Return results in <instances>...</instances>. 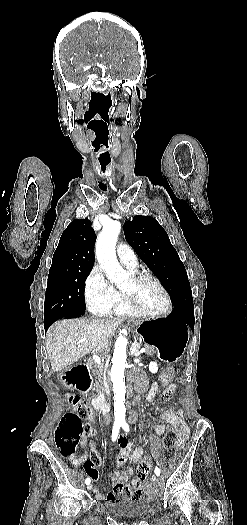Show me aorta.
Returning <instances> with one entry per match:
<instances>
[{"instance_id":"obj_1","label":"aorta","mask_w":247,"mask_h":525,"mask_svg":"<svg viewBox=\"0 0 247 525\" xmlns=\"http://www.w3.org/2000/svg\"><path fill=\"white\" fill-rule=\"evenodd\" d=\"M121 230V224L118 221H111L106 224L98 236L96 243V255L98 262L105 271L107 278L114 282L118 288L124 287L129 280V274L120 266L115 252V244ZM125 330L120 331L116 340L112 357L111 380L114 391V415L115 421H125V376L126 368V348L128 341L122 334Z\"/></svg>"}]
</instances>
